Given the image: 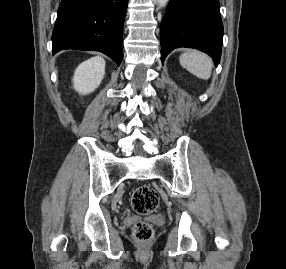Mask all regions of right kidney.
<instances>
[{
  "label": "right kidney",
  "instance_id": "right-kidney-1",
  "mask_svg": "<svg viewBox=\"0 0 286 269\" xmlns=\"http://www.w3.org/2000/svg\"><path fill=\"white\" fill-rule=\"evenodd\" d=\"M105 74V61L102 57H92L81 63L74 72L73 87L82 95L93 92Z\"/></svg>",
  "mask_w": 286,
  "mask_h": 269
}]
</instances>
